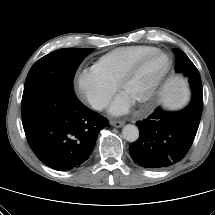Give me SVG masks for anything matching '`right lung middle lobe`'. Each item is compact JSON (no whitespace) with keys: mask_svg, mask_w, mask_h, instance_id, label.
Listing matches in <instances>:
<instances>
[{"mask_svg":"<svg viewBox=\"0 0 215 215\" xmlns=\"http://www.w3.org/2000/svg\"><path fill=\"white\" fill-rule=\"evenodd\" d=\"M91 48H65L39 59L25 81L22 107L24 129L64 103L77 101L73 77Z\"/></svg>","mask_w":215,"mask_h":215,"instance_id":"dd1d6c3e","label":"right lung middle lobe"}]
</instances>
